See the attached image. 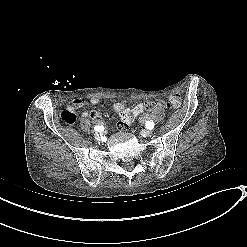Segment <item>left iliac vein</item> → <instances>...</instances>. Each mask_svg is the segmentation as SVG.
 Instances as JSON below:
<instances>
[{
  "mask_svg": "<svg viewBox=\"0 0 247 247\" xmlns=\"http://www.w3.org/2000/svg\"><path fill=\"white\" fill-rule=\"evenodd\" d=\"M141 135H142L143 137H148V136L151 135V130H148V129L142 130V131H141Z\"/></svg>",
  "mask_w": 247,
  "mask_h": 247,
  "instance_id": "left-iliac-vein-1",
  "label": "left iliac vein"
}]
</instances>
